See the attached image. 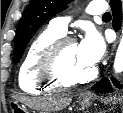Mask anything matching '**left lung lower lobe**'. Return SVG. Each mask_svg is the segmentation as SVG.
Wrapping results in <instances>:
<instances>
[{
  "label": "left lung lower lobe",
  "instance_id": "1",
  "mask_svg": "<svg viewBox=\"0 0 123 113\" xmlns=\"http://www.w3.org/2000/svg\"><path fill=\"white\" fill-rule=\"evenodd\" d=\"M110 6L112 8L113 18V28L115 31H118L121 27V20H122V3L121 0H110ZM114 85L117 87L118 83L113 80ZM92 90H95L97 93H108L112 91L110 82L107 78L102 79L101 81L97 82L93 87Z\"/></svg>",
  "mask_w": 123,
  "mask_h": 113
}]
</instances>
